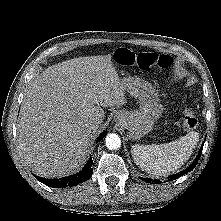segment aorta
<instances>
[{
	"label": "aorta",
	"instance_id": "aorta-1",
	"mask_svg": "<svg viewBox=\"0 0 221 221\" xmlns=\"http://www.w3.org/2000/svg\"><path fill=\"white\" fill-rule=\"evenodd\" d=\"M105 144L106 147L110 150L118 149L121 146L120 137L114 133L108 134L105 139Z\"/></svg>",
	"mask_w": 221,
	"mask_h": 221
}]
</instances>
